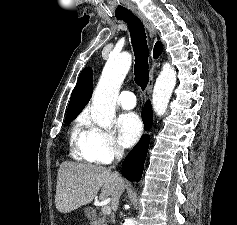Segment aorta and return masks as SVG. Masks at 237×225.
Segmentation results:
<instances>
[{
    "label": "aorta",
    "instance_id": "aorta-1",
    "mask_svg": "<svg viewBox=\"0 0 237 225\" xmlns=\"http://www.w3.org/2000/svg\"><path fill=\"white\" fill-rule=\"evenodd\" d=\"M131 62V55L124 52L118 55L111 54L104 66L91 108L93 121L104 129L111 127L120 86L130 69ZM175 85L176 71L169 63H165L156 79L152 95V106L157 115L161 116L166 112ZM123 225H136V221L127 218Z\"/></svg>",
    "mask_w": 237,
    "mask_h": 225
}]
</instances>
